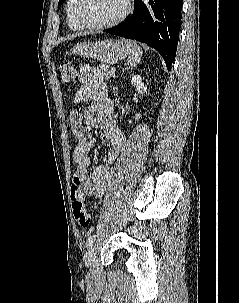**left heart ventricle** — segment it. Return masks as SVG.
Segmentation results:
<instances>
[{
    "mask_svg": "<svg viewBox=\"0 0 239 303\" xmlns=\"http://www.w3.org/2000/svg\"><path fill=\"white\" fill-rule=\"evenodd\" d=\"M125 8V0H83L81 13L90 23L100 24L118 17Z\"/></svg>",
    "mask_w": 239,
    "mask_h": 303,
    "instance_id": "left-heart-ventricle-1",
    "label": "left heart ventricle"
}]
</instances>
